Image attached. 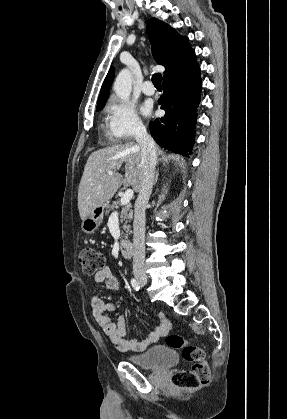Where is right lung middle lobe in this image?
<instances>
[{"label": "right lung middle lobe", "instance_id": "obj_1", "mask_svg": "<svg viewBox=\"0 0 287 419\" xmlns=\"http://www.w3.org/2000/svg\"><path fill=\"white\" fill-rule=\"evenodd\" d=\"M103 106L97 107V111L101 110Z\"/></svg>", "mask_w": 287, "mask_h": 419}]
</instances>
